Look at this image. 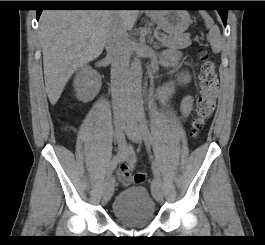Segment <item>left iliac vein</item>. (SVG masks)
Here are the masks:
<instances>
[{"instance_id": "1", "label": "left iliac vein", "mask_w": 265, "mask_h": 245, "mask_svg": "<svg viewBox=\"0 0 265 245\" xmlns=\"http://www.w3.org/2000/svg\"><path fill=\"white\" fill-rule=\"evenodd\" d=\"M127 137L134 143H141L142 133L138 125L137 118L134 116L127 122V127L125 129ZM152 195L156 201L161 202L163 200V189L161 184L154 179V187L152 189Z\"/></svg>"}]
</instances>
